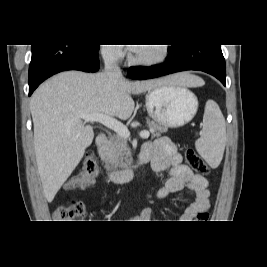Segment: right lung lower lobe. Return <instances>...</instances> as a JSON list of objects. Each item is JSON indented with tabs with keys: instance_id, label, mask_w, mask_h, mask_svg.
<instances>
[{
	"instance_id": "98d812e1",
	"label": "right lung lower lobe",
	"mask_w": 267,
	"mask_h": 267,
	"mask_svg": "<svg viewBox=\"0 0 267 267\" xmlns=\"http://www.w3.org/2000/svg\"><path fill=\"white\" fill-rule=\"evenodd\" d=\"M98 49L91 45H32L29 67V96L44 80L65 70L96 72Z\"/></svg>"
}]
</instances>
